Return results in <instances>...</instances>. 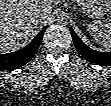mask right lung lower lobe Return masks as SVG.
<instances>
[{"label":"right lung lower lobe","mask_w":111,"mask_h":106,"mask_svg":"<svg viewBox=\"0 0 111 106\" xmlns=\"http://www.w3.org/2000/svg\"><path fill=\"white\" fill-rule=\"evenodd\" d=\"M44 32L45 28L24 48L0 55V70L16 69L28 63L37 52Z\"/></svg>","instance_id":"98d812e1"}]
</instances>
